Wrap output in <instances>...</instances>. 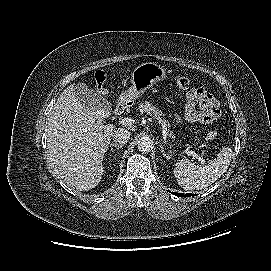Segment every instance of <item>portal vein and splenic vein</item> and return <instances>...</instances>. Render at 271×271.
I'll list each match as a JSON object with an SVG mask.
<instances>
[{"instance_id": "1", "label": "portal vein and splenic vein", "mask_w": 271, "mask_h": 271, "mask_svg": "<svg viewBox=\"0 0 271 271\" xmlns=\"http://www.w3.org/2000/svg\"><path fill=\"white\" fill-rule=\"evenodd\" d=\"M120 123L124 126H132L135 123V119L133 118H123L121 119ZM183 152L187 154L188 156H192L193 158H196L201 164H205L206 161L200 157L198 154H196L194 151H190L188 149H184Z\"/></svg>"}]
</instances>
